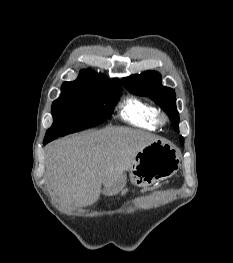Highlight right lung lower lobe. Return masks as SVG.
<instances>
[{"label":"right lung lower lobe","mask_w":233,"mask_h":263,"mask_svg":"<svg viewBox=\"0 0 233 263\" xmlns=\"http://www.w3.org/2000/svg\"><path fill=\"white\" fill-rule=\"evenodd\" d=\"M50 141L49 140H44L43 141V144L46 145L47 143H49Z\"/></svg>","instance_id":"obj_1"}]
</instances>
